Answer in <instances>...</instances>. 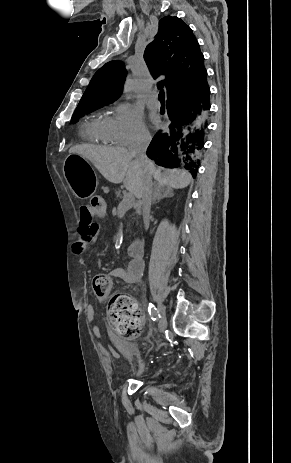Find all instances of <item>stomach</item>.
Listing matches in <instances>:
<instances>
[{
    "label": "stomach",
    "instance_id": "stomach-1",
    "mask_svg": "<svg viewBox=\"0 0 291 463\" xmlns=\"http://www.w3.org/2000/svg\"><path fill=\"white\" fill-rule=\"evenodd\" d=\"M65 179L73 194L79 199L91 196L96 187V179L87 159L77 154H69L63 166Z\"/></svg>",
    "mask_w": 291,
    "mask_h": 463
}]
</instances>
